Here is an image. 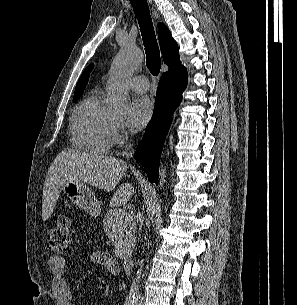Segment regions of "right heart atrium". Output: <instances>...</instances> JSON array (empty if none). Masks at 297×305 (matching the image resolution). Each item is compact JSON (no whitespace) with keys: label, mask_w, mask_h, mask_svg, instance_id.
<instances>
[{"label":"right heart atrium","mask_w":297,"mask_h":305,"mask_svg":"<svg viewBox=\"0 0 297 305\" xmlns=\"http://www.w3.org/2000/svg\"><path fill=\"white\" fill-rule=\"evenodd\" d=\"M116 132H117L118 134H123V131H122L119 127H116Z\"/></svg>","instance_id":"1"}]
</instances>
